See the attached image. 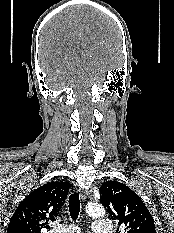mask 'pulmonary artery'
<instances>
[{
  "label": "pulmonary artery",
  "mask_w": 174,
  "mask_h": 233,
  "mask_svg": "<svg viewBox=\"0 0 174 233\" xmlns=\"http://www.w3.org/2000/svg\"><path fill=\"white\" fill-rule=\"evenodd\" d=\"M92 229L94 233H112L113 226L110 221L99 219L93 222ZM49 233H80V230L74 225H58Z\"/></svg>",
  "instance_id": "obj_1"
}]
</instances>
